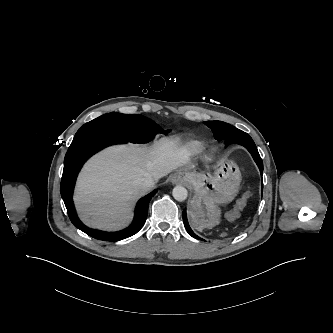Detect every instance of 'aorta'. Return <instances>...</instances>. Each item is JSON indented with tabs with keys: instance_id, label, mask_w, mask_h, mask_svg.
<instances>
[{
	"instance_id": "aorta-1",
	"label": "aorta",
	"mask_w": 333,
	"mask_h": 333,
	"mask_svg": "<svg viewBox=\"0 0 333 333\" xmlns=\"http://www.w3.org/2000/svg\"><path fill=\"white\" fill-rule=\"evenodd\" d=\"M172 195L175 200L181 202V201L186 200V198L188 196V192L185 187L178 185L173 188Z\"/></svg>"
}]
</instances>
